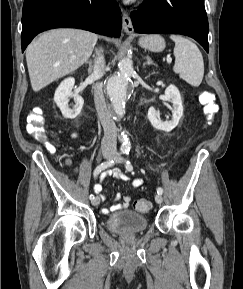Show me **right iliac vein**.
<instances>
[{"label":"right iliac vein","instance_id":"right-iliac-vein-1","mask_svg":"<svg viewBox=\"0 0 243 289\" xmlns=\"http://www.w3.org/2000/svg\"><path fill=\"white\" fill-rule=\"evenodd\" d=\"M103 156L105 159H111L112 154L110 152H104ZM91 203L93 206H98L100 203V198L98 196H95L93 199H91Z\"/></svg>","mask_w":243,"mask_h":289}]
</instances>
